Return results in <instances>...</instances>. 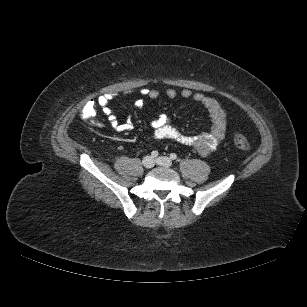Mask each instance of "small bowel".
I'll return each instance as SVG.
<instances>
[{
  "label": "small bowel",
  "mask_w": 307,
  "mask_h": 307,
  "mask_svg": "<svg viewBox=\"0 0 307 307\" xmlns=\"http://www.w3.org/2000/svg\"><path fill=\"white\" fill-rule=\"evenodd\" d=\"M178 95L174 89L165 91V96L169 99H174ZM160 96V92L154 89H143L140 91V97L134 101V106L138 109L144 107L145 98L155 100ZM180 96L184 99L192 98L195 102L201 104L207 111L211 128L208 132H203L198 135H186L181 133L177 128L170 124L168 117L160 113L155 118L150 120V126L153 129V135L157 139L173 140L185 146L195 148L201 155H207L215 150L223 141L228 128L225 110L214 99L205 96L202 93H193L189 89H183ZM113 96L104 94L97 98V104L102 113L107 117L108 122L118 132H128L133 129V124L130 119L120 123L117 116L110 108L109 103Z\"/></svg>",
  "instance_id": "1"
}]
</instances>
